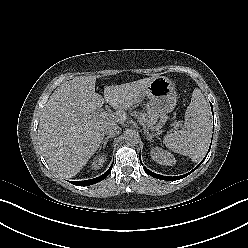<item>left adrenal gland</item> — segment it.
I'll return each mask as SVG.
<instances>
[{
  "mask_svg": "<svg viewBox=\"0 0 248 248\" xmlns=\"http://www.w3.org/2000/svg\"><path fill=\"white\" fill-rule=\"evenodd\" d=\"M144 134L146 135V138H147V140H149V141H152L153 137L156 136V135H154V134H150V133L147 132V131H144Z\"/></svg>",
  "mask_w": 248,
  "mask_h": 248,
  "instance_id": "obj_1",
  "label": "left adrenal gland"
}]
</instances>
